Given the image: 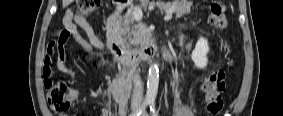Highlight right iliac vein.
I'll return each instance as SVG.
<instances>
[{
	"instance_id": "right-iliac-vein-1",
	"label": "right iliac vein",
	"mask_w": 283,
	"mask_h": 116,
	"mask_svg": "<svg viewBox=\"0 0 283 116\" xmlns=\"http://www.w3.org/2000/svg\"><path fill=\"white\" fill-rule=\"evenodd\" d=\"M133 111L135 112V111H136V109L134 108V109H133Z\"/></svg>"
}]
</instances>
